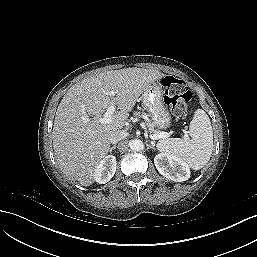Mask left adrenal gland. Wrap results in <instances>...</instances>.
Instances as JSON below:
<instances>
[{
  "instance_id": "a2214340",
  "label": "left adrenal gland",
  "mask_w": 257,
  "mask_h": 257,
  "mask_svg": "<svg viewBox=\"0 0 257 257\" xmlns=\"http://www.w3.org/2000/svg\"><path fill=\"white\" fill-rule=\"evenodd\" d=\"M147 147H148V148L155 149V148H154V142H151V144H147Z\"/></svg>"
}]
</instances>
